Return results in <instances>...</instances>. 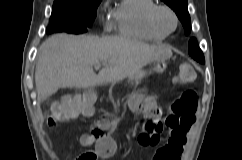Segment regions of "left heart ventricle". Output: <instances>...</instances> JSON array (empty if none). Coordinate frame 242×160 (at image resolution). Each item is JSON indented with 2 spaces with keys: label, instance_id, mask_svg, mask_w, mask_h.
I'll list each match as a JSON object with an SVG mask.
<instances>
[{
  "label": "left heart ventricle",
  "instance_id": "b2bd125f",
  "mask_svg": "<svg viewBox=\"0 0 242 160\" xmlns=\"http://www.w3.org/2000/svg\"><path fill=\"white\" fill-rule=\"evenodd\" d=\"M161 22L166 27H171L173 24L171 17L165 13L161 15Z\"/></svg>",
  "mask_w": 242,
  "mask_h": 160
}]
</instances>
